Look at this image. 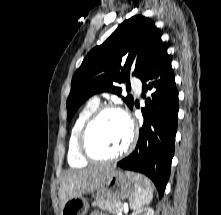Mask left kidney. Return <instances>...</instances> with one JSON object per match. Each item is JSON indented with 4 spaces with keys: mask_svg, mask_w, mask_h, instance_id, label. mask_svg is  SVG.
<instances>
[{
    "mask_svg": "<svg viewBox=\"0 0 221 215\" xmlns=\"http://www.w3.org/2000/svg\"><path fill=\"white\" fill-rule=\"evenodd\" d=\"M131 215H154V210L150 207H146V208L136 210Z\"/></svg>",
    "mask_w": 221,
    "mask_h": 215,
    "instance_id": "left-kidney-1",
    "label": "left kidney"
}]
</instances>
